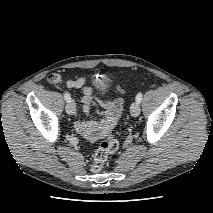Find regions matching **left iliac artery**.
<instances>
[{"mask_svg": "<svg viewBox=\"0 0 213 213\" xmlns=\"http://www.w3.org/2000/svg\"><path fill=\"white\" fill-rule=\"evenodd\" d=\"M142 101V93L139 92L136 96V102L140 103Z\"/></svg>", "mask_w": 213, "mask_h": 213, "instance_id": "left-iliac-artery-1", "label": "left iliac artery"}]
</instances>
